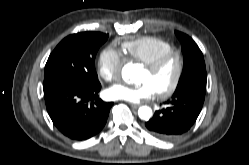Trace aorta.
Instances as JSON below:
<instances>
[{"label":"aorta","instance_id":"obj_1","mask_svg":"<svg viewBox=\"0 0 249 165\" xmlns=\"http://www.w3.org/2000/svg\"><path fill=\"white\" fill-rule=\"evenodd\" d=\"M135 66L131 63L126 64L122 68V78L130 83L135 82L134 79ZM138 115L142 120H149L152 117V109L148 106H142L138 110Z\"/></svg>","mask_w":249,"mask_h":165}]
</instances>
